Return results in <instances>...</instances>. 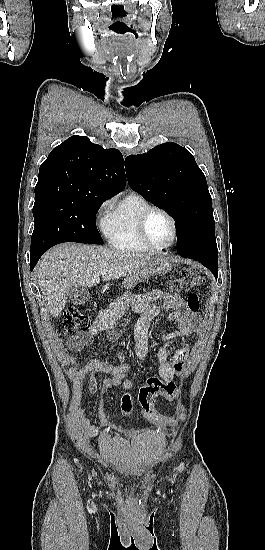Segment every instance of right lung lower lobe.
<instances>
[{
    "label": "right lung lower lobe",
    "instance_id": "1",
    "mask_svg": "<svg viewBox=\"0 0 265 550\" xmlns=\"http://www.w3.org/2000/svg\"><path fill=\"white\" fill-rule=\"evenodd\" d=\"M44 252H38V253H32L30 255V269L33 270L36 263L38 262L39 258L42 256Z\"/></svg>",
    "mask_w": 265,
    "mask_h": 550
}]
</instances>
